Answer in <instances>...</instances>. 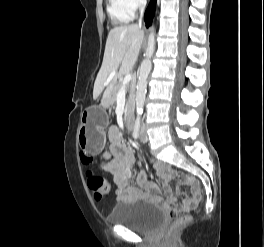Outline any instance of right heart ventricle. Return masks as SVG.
<instances>
[{
	"mask_svg": "<svg viewBox=\"0 0 264 247\" xmlns=\"http://www.w3.org/2000/svg\"><path fill=\"white\" fill-rule=\"evenodd\" d=\"M111 18L117 23H125L132 19L133 15L127 12L120 4L119 0H110L108 7Z\"/></svg>",
	"mask_w": 264,
	"mask_h": 247,
	"instance_id": "e07e8e85",
	"label": "right heart ventricle"
}]
</instances>
